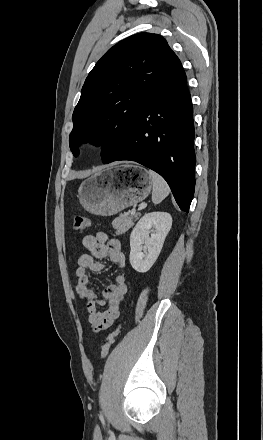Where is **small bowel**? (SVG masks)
<instances>
[{"label":"small bowel","mask_w":263,"mask_h":440,"mask_svg":"<svg viewBox=\"0 0 263 440\" xmlns=\"http://www.w3.org/2000/svg\"><path fill=\"white\" fill-rule=\"evenodd\" d=\"M83 246L89 254L80 256L77 260L75 291L79 299L86 300L85 313L88 322L96 331L111 328L120 314V304L127 292L126 257L122 251L119 239L108 237L104 233L87 235L83 238ZM107 258L119 267L114 276V283L108 285L102 297H98L96 290L90 285V272H101L106 268L100 260ZM98 307H105L99 310Z\"/></svg>","instance_id":"1"}]
</instances>
